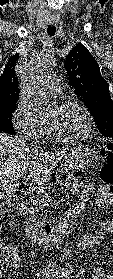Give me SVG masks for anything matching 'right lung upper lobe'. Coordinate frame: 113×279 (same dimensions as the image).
<instances>
[{
	"mask_svg": "<svg viewBox=\"0 0 113 279\" xmlns=\"http://www.w3.org/2000/svg\"><path fill=\"white\" fill-rule=\"evenodd\" d=\"M19 54L12 56L0 76V109L16 106L18 100V82L14 73Z\"/></svg>",
	"mask_w": 113,
	"mask_h": 279,
	"instance_id": "obj_1",
	"label": "right lung upper lobe"
}]
</instances>
